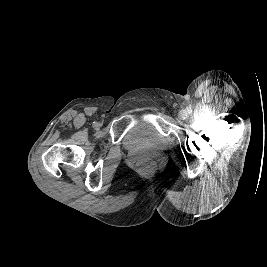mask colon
<instances>
[{"label": "colon", "instance_id": "obj_1", "mask_svg": "<svg viewBox=\"0 0 267 267\" xmlns=\"http://www.w3.org/2000/svg\"><path fill=\"white\" fill-rule=\"evenodd\" d=\"M141 170L145 174H149L154 170V166L151 163H143L141 164Z\"/></svg>", "mask_w": 267, "mask_h": 267}]
</instances>
